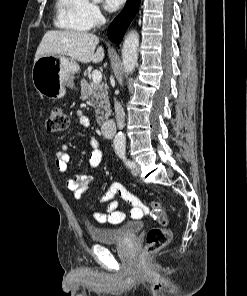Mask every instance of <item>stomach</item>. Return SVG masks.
Instances as JSON below:
<instances>
[{"mask_svg": "<svg viewBox=\"0 0 247 296\" xmlns=\"http://www.w3.org/2000/svg\"><path fill=\"white\" fill-rule=\"evenodd\" d=\"M79 70L75 60L64 56H42L34 62L32 81L39 94L50 99H60L65 87H73V75Z\"/></svg>", "mask_w": 247, "mask_h": 296, "instance_id": "stomach-1", "label": "stomach"}]
</instances>
